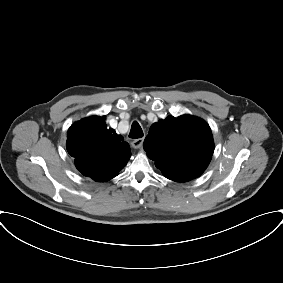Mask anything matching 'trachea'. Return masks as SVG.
<instances>
[{"label":"trachea","mask_w":283,"mask_h":283,"mask_svg":"<svg viewBox=\"0 0 283 283\" xmlns=\"http://www.w3.org/2000/svg\"><path fill=\"white\" fill-rule=\"evenodd\" d=\"M129 137L133 139H138L143 137V131L137 121H134L131 126Z\"/></svg>","instance_id":"trachea-1"}]
</instances>
